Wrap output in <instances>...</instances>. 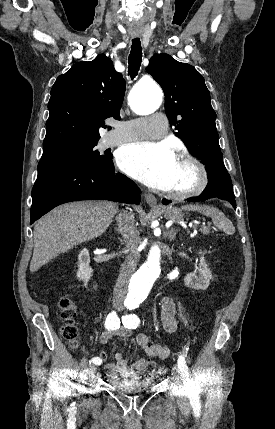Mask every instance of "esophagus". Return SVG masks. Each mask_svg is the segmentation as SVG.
Segmentation results:
<instances>
[{
  "label": "esophagus",
  "instance_id": "obj_1",
  "mask_svg": "<svg viewBox=\"0 0 275 429\" xmlns=\"http://www.w3.org/2000/svg\"><path fill=\"white\" fill-rule=\"evenodd\" d=\"M144 197L148 205L151 207H158L157 199L153 194L145 193Z\"/></svg>",
  "mask_w": 275,
  "mask_h": 429
}]
</instances>
